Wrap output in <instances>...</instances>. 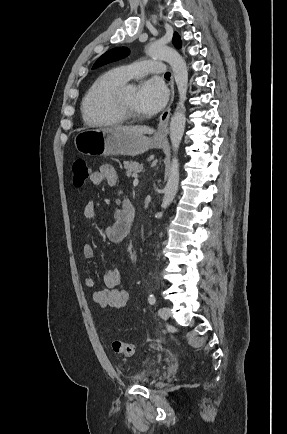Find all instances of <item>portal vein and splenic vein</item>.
I'll return each mask as SVG.
<instances>
[{"instance_id": "portal-vein-and-splenic-vein-1", "label": "portal vein and splenic vein", "mask_w": 287, "mask_h": 434, "mask_svg": "<svg viewBox=\"0 0 287 434\" xmlns=\"http://www.w3.org/2000/svg\"><path fill=\"white\" fill-rule=\"evenodd\" d=\"M138 183H139V180H138L137 176H135V179H134V181H133V185H134V186H137Z\"/></svg>"}]
</instances>
